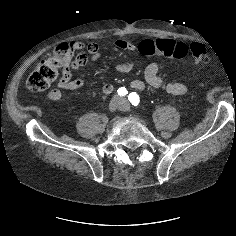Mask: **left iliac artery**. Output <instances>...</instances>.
<instances>
[{
    "mask_svg": "<svg viewBox=\"0 0 236 236\" xmlns=\"http://www.w3.org/2000/svg\"><path fill=\"white\" fill-rule=\"evenodd\" d=\"M128 99L134 106H137L140 102L139 95L136 92L130 93Z\"/></svg>",
    "mask_w": 236,
    "mask_h": 236,
    "instance_id": "1",
    "label": "left iliac artery"
}]
</instances>
